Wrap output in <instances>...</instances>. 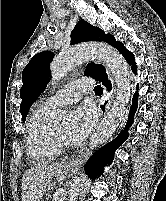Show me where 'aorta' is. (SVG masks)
Listing matches in <instances>:
<instances>
[{"instance_id": "obj_1", "label": "aorta", "mask_w": 166, "mask_h": 201, "mask_svg": "<svg viewBox=\"0 0 166 201\" xmlns=\"http://www.w3.org/2000/svg\"><path fill=\"white\" fill-rule=\"evenodd\" d=\"M90 58L100 59L113 75L117 85L116 99L91 138V147H98L113 135L127 111L131 95V77L125 59L113 47L106 44L78 45L63 50L54 57L50 70L52 82H59L75 66ZM52 114L59 121L66 120L68 117L67 113L59 108L55 109ZM82 179L83 176L78 174L73 181L68 201H77Z\"/></svg>"}]
</instances>
